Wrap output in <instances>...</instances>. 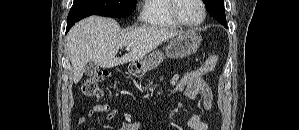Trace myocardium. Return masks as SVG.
I'll list each match as a JSON object with an SVG mask.
<instances>
[{
	"mask_svg": "<svg viewBox=\"0 0 299 130\" xmlns=\"http://www.w3.org/2000/svg\"><path fill=\"white\" fill-rule=\"evenodd\" d=\"M178 1L179 0H171L170 1V10H171V14L173 16V18L182 26H185L187 28H196V27H199L201 26L205 19H206V16H207V8H206V5H205V2L204 0H198V2L200 3L201 5V8H202V16H201V19L197 22H194V23H190V22H187L185 21L178 13Z\"/></svg>",
	"mask_w": 299,
	"mask_h": 130,
	"instance_id": "f54148a6",
	"label": "myocardium"
}]
</instances>
